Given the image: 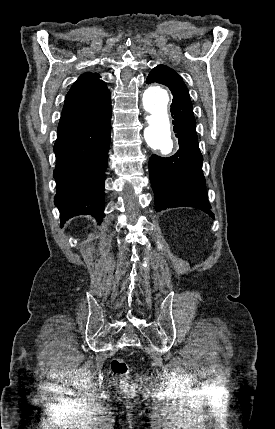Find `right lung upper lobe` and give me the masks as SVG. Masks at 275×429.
Listing matches in <instances>:
<instances>
[{"label":"right lung upper lobe","instance_id":"1","mask_svg":"<svg viewBox=\"0 0 275 429\" xmlns=\"http://www.w3.org/2000/svg\"><path fill=\"white\" fill-rule=\"evenodd\" d=\"M97 73H84L66 95L58 129L74 127L111 110V95Z\"/></svg>","mask_w":275,"mask_h":429}]
</instances>
